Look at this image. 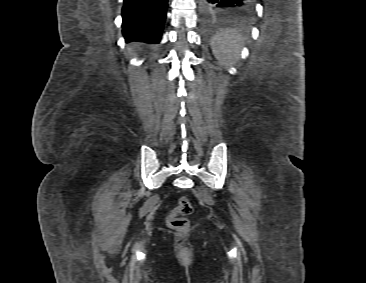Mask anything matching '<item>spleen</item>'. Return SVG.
Instances as JSON below:
<instances>
[{
    "label": "spleen",
    "mask_w": 366,
    "mask_h": 283,
    "mask_svg": "<svg viewBox=\"0 0 366 283\" xmlns=\"http://www.w3.org/2000/svg\"><path fill=\"white\" fill-rule=\"evenodd\" d=\"M243 37L236 29L221 30L211 39L214 55L220 61L235 64L239 59Z\"/></svg>",
    "instance_id": "obj_1"
}]
</instances>
